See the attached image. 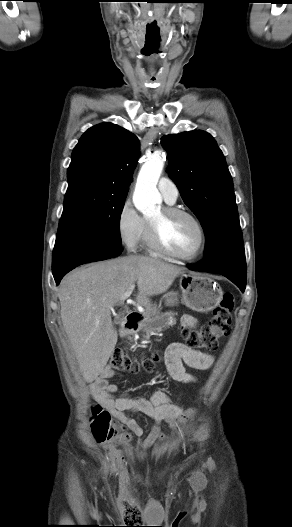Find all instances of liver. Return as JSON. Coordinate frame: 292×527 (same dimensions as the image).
Instances as JSON below:
<instances>
[{
	"mask_svg": "<svg viewBox=\"0 0 292 527\" xmlns=\"http://www.w3.org/2000/svg\"><path fill=\"white\" fill-rule=\"evenodd\" d=\"M184 268L147 256L129 255L75 269L61 282V319L86 382L106 366L118 335L111 309L137 283L136 302L166 292Z\"/></svg>",
	"mask_w": 292,
	"mask_h": 527,
	"instance_id": "obj_1",
	"label": "liver"
}]
</instances>
